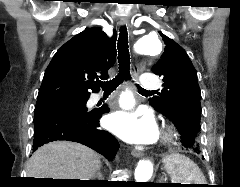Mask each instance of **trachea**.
Listing matches in <instances>:
<instances>
[{
    "mask_svg": "<svg viewBox=\"0 0 240 187\" xmlns=\"http://www.w3.org/2000/svg\"><path fill=\"white\" fill-rule=\"evenodd\" d=\"M118 63H119V72L115 78L107 82H98V84L103 89L104 93H110L114 91L123 80L131 79L130 77V54H129V45H128V34L126 27L122 26L120 28V34L118 38ZM139 92L149 93V91L138 86Z\"/></svg>",
    "mask_w": 240,
    "mask_h": 187,
    "instance_id": "trachea-1",
    "label": "trachea"
}]
</instances>
